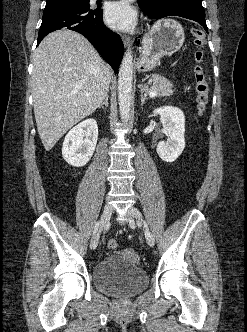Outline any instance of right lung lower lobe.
<instances>
[{
  "label": "right lung lower lobe",
  "mask_w": 247,
  "mask_h": 332,
  "mask_svg": "<svg viewBox=\"0 0 247 332\" xmlns=\"http://www.w3.org/2000/svg\"><path fill=\"white\" fill-rule=\"evenodd\" d=\"M101 8L59 4L46 6L42 24L38 33V45L50 32L58 29H69L84 35L101 53L102 57L111 65L114 72H118L123 57L124 46L119 35L107 29L102 20Z\"/></svg>",
  "instance_id": "obj_1"
}]
</instances>
